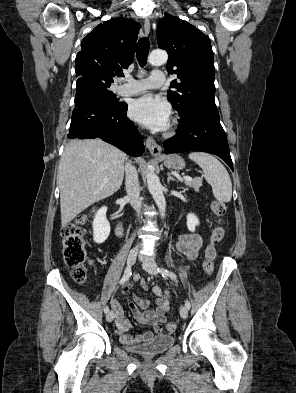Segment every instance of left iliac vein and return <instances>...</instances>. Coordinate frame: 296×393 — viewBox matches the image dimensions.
Returning a JSON list of instances; mask_svg holds the SVG:
<instances>
[{
    "mask_svg": "<svg viewBox=\"0 0 296 393\" xmlns=\"http://www.w3.org/2000/svg\"><path fill=\"white\" fill-rule=\"evenodd\" d=\"M142 267L145 271L152 275H157V264L155 261L149 259L146 262H143ZM180 315L183 319H186L188 316V309L185 306L180 307Z\"/></svg>",
    "mask_w": 296,
    "mask_h": 393,
    "instance_id": "4c4485c4",
    "label": "left iliac vein"
}]
</instances>
